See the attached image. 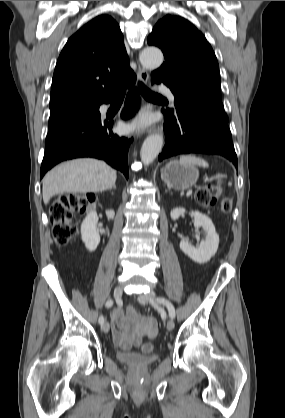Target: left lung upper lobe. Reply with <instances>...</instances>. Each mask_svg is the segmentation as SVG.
I'll list each match as a JSON object with an SVG mask.
<instances>
[{"instance_id": "5c2ea615", "label": "left lung upper lobe", "mask_w": 285, "mask_h": 418, "mask_svg": "<svg viewBox=\"0 0 285 418\" xmlns=\"http://www.w3.org/2000/svg\"><path fill=\"white\" fill-rule=\"evenodd\" d=\"M149 45L159 47L165 62L151 78L167 85L175 97L174 112L180 106L198 103L224 111L220 73L215 53L205 36L188 20L167 15L149 35Z\"/></svg>"}]
</instances>
